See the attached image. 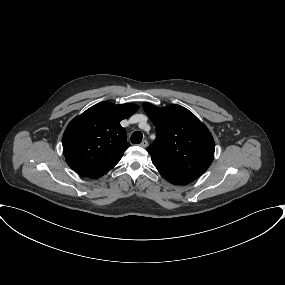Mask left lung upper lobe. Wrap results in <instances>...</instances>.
Returning <instances> with one entry per match:
<instances>
[{"label":"left lung upper lobe","instance_id":"5c2ea615","mask_svg":"<svg viewBox=\"0 0 285 285\" xmlns=\"http://www.w3.org/2000/svg\"><path fill=\"white\" fill-rule=\"evenodd\" d=\"M143 108L156 127L155 143L147 148L154 165L200 177L214 158V139L208 128L180 105L156 107L145 102Z\"/></svg>","mask_w":285,"mask_h":285}]
</instances>
